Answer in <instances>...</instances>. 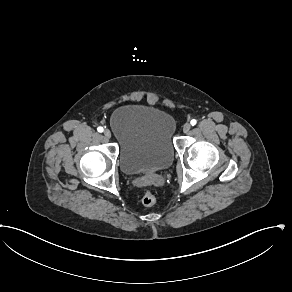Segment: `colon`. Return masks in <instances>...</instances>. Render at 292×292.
Returning a JSON list of instances; mask_svg holds the SVG:
<instances>
[{"label": "colon", "instance_id": "colon-1", "mask_svg": "<svg viewBox=\"0 0 292 292\" xmlns=\"http://www.w3.org/2000/svg\"><path fill=\"white\" fill-rule=\"evenodd\" d=\"M142 204L144 206H153L156 203V195L152 189H148L142 196Z\"/></svg>", "mask_w": 292, "mask_h": 292}]
</instances>
